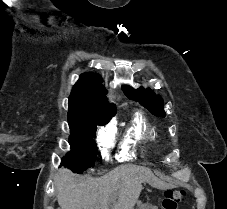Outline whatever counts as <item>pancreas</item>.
Wrapping results in <instances>:
<instances>
[{
  "label": "pancreas",
  "mask_w": 227,
  "mask_h": 209,
  "mask_svg": "<svg viewBox=\"0 0 227 209\" xmlns=\"http://www.w3.org/2000/svg\"><path fill=\"white\" fill-rule=\"evenodd\" d=\"M142 209H151V208L147 206H143Z\"/></svg>",
  "instance_id": "1"
}]
</instances>
